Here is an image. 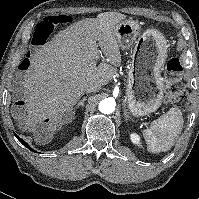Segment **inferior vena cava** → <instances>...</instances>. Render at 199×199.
I'll return each instance as SVG.
<instances>
[{
  "label": "inferior vena cava",
  "instance_id": "obj_1",
  "mask_svg": "<svg viewBox=\"0 0 199 199\" xmlns=\"http://www.w3.org/2000/svg\"><path fill=\"white\" fill-rule=\"evenodd\" d=\"M101 88V85L98 83H91L87 88H86V92L90 93V92H94L96 90H99Z\"/></svg>",
  "mask_w": 199,
  "mask_h": 199
}]
</instances>
